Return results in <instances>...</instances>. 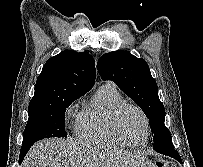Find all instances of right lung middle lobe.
Instances as JSON below:
<instances>
[{"instance_id": "right-lung-middle-lobe-1", "label": "right lung middle lobe", "mask_w": 203, "mask_h": 167, "mask_svg": "<svg viewBox=\"0 0 203 167\" xmlns=\"http://www.w3.org/2000/svg\"><path fill=\"white\" fill-rule=\"evenodd\" d=\"M77 98L67 97L48 104L29 105L22 144L48 137H67L64 121L66 108Z\"/></svg>"}]
</instances>
